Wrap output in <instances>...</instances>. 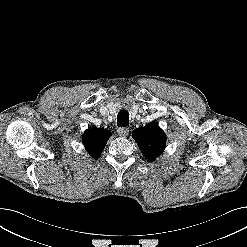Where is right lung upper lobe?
Segmentation results:
<instances>
[{"instance_id":"right-lung-upper-lobe-1","label":"right lung upper lobe","mask_w":247,"mask_h":247,"mask_svg":"<svg viewBox=\"0 0 247 247\" xmlns=\"http://www.w3.org/2000/svg\"><path fill=\"white\" fill-rule=\"evenodd\" d=\"M110 136L109 130L94 127L86 130L83 134V144L88 153L96 158L103 151Z\"/></svg>"}]
</instances>
